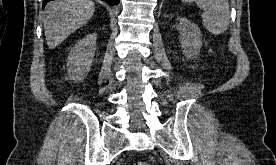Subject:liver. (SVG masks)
<instances>
[{"label":"liver","mask_w":276,"mask_h":165,"mask_svg":"<svg viewBox=\"0 0 276 165\" xmlns=\"http://www.w3.org/2000/svg\"><path fill=\"white\" fill-rule=\"evenodd\" d=\"M95 11L90 0H57L47 5L44 29L47 45L54 49L86 24Z\"/></svg>","instance_id":"6515ba94"}]
</instances>
